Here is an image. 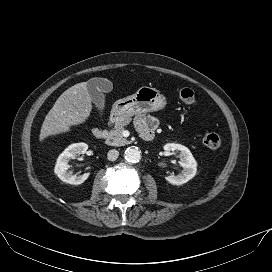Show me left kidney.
Listing matches in <instances>:
<instances>
[{
    "instance_id": "obj_1",
    "label": "left kidney",
    "mask_w": 272,
    "mask_h": 272,
    "mask_svg": "<svg viewBox=\"0 0 272 272\" xmlns=\"http://www.w3.org/2000/svg\"><path fill=\"white\" fill-rule=\"evenodd\" d=\"M165 151H178L180 161L179 164L183 167L181 174L166 176L165 179L172 185H182L192 179L197 172V162L195 161L190 150L175 143H168L164 145Z\"/></svg>"
}]
</instances>
